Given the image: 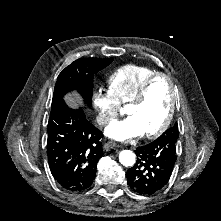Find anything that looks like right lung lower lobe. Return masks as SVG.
<instances>
[{
	"instance_id": "obj_1",
	"label": "right lung lower lobe",
	"mask_w": 221,
	"mask_h": 221,
	"mask_svg": "<svg viewBox=\"0 0 221 221\" xmlns=\"http://www.w3.org/2000/svg\"><path fill=\"white\" fill-rule=\"evenodd\" d=\"M47 130V156L54 179L69 191L89 188L103 155L102 132L82 109L69 108L64 101L51 109Z\"/></svg>"
}]
</instances>
